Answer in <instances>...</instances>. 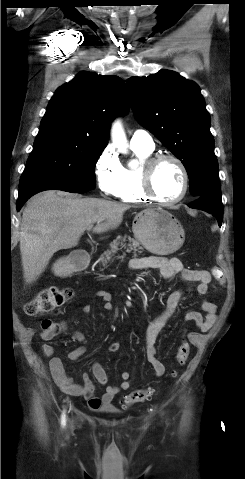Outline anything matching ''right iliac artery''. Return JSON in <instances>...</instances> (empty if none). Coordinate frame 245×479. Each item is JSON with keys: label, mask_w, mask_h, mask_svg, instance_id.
<instances>
[{"label": "right iliac artery", "mask_w": 245, "mask_h": 479, "mask_svg": "<svg viewBox=\"0 0 245 479\" xmlns=\"http://www.w3.org/2000/svg\"><path fill=\"white\" fill-rule=\"evenodd\" d=\"M61 424H62V425H65V414L62 415Z\"/></svg>", "instance_id": "obj_1"}]
</instances>
